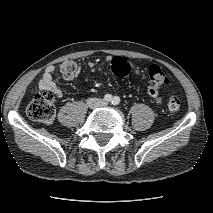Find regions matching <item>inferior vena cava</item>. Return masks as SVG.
<instances>
[{
  "instance_id": "602c4592",
  "label": "inferior vena cava",
  "mask_w": 213,
  "mask_h": 213,
  "mask_svg": "<svg viewBox=\"0 0 213 213\" xmlns=\"http://www.w3.org/2000/svg\"><path fill=\"white\" fill-rule=\"evenodd\" d=\"M87 103L90 105V106H103L105 104V102L102 100V99H99V98H90L87 100Z\"/></svg>"
}]
</instances>
